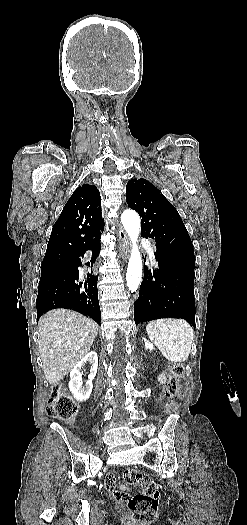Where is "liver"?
<instances>
[{"instance_id":"obj_1","label":"liver","mask_w":247,"mask_h":525,"mask_svg":"<svg viewBox=\"0 0 247 525\" xmlns=\"http://www.w3.org/2000/svg\"><path fill=\"white\" fill-rule=\"evenodd\" d=\"M38 327L39 353L49 385L59 383L89 353L99 329L93 319L69 309L48 311Z\"/></svg>"}]
</instances>
